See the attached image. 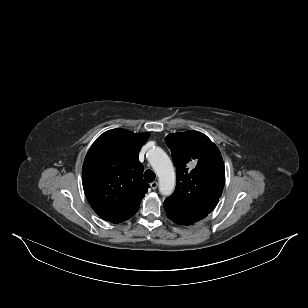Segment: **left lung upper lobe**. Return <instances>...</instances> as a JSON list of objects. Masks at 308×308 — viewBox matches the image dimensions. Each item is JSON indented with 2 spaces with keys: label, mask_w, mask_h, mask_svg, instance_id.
Wrapping results in <instances>:
<instances>
[{
  "label": "left lung upper lobe",
  "mask_w": 308,
  "mask_h": 308,
  "mask_svg": "<svg viewBox=\"0 0 308 308\" xmlns=\"http://www.w3.org/2000/svg\"><path fill=\"white\" fill-rule=\"evenodd\" d=\"M176 165L174 194L164 201L169 219L191 225L216 207L225 184V168L217 146L197 131L169 134L165 138Z\"/></svg>",
  "instance_id": "1"
}]
</instances>
